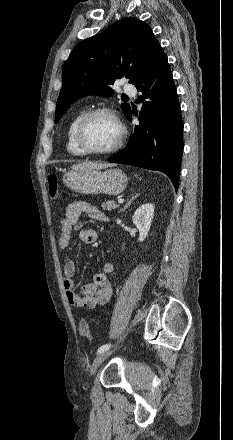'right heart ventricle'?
<instances>
[{
  "label": "right heart ventricle",
  "instance_id": "e07e8e85",
  "mask_svg": "<svg viewBox=\"0 0 233 440\" xmlns=\"http://www.w3.org/2000/svg\"><path fill=\"white\" fill-rule=\"evenodd\" d=\"M84 111H79L70 121L67 129V141H66V149L73 156H84L85 154L77 147L75 143V128L84 114Z\"/></svg>",
  "mask_w": 233,
  "mask_h": 440
}]
</instances>
